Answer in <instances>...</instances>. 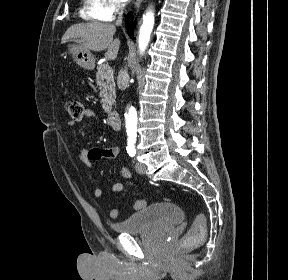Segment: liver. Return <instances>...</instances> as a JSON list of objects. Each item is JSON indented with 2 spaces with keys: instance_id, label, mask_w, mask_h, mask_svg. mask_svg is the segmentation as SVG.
I'll return each instance as SVG.
<instances>
[{
  "instance_id": "liver-1",
  "label": "liver",
  "mask_w": 288,
  "mask_h": 280,
  "mask_svg": "<svg viewBox=\"0 0 288 280\" xmlns=\"http://www.w3.org/2000/svg\"><path fill=\"white\" fill-rule=\"evenodd\" d=\"M116 27L110 23H80L72 25L62 37V43L75 41L85 49L100 52L106 50L105 57L114 60L120 47V40H113Z\"/></svg>"
}]
</instances>
